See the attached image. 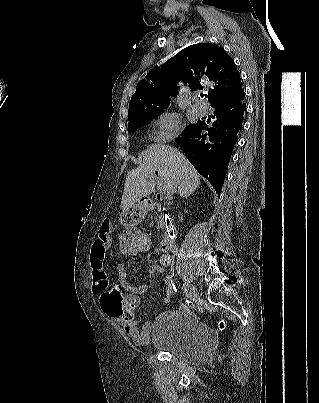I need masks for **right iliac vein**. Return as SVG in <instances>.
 I'll return each mask as SVG.
<instances>
[{"mask_svg": "<svg viewBox=\"0 0 319 403\" xmlns=\"http://www.w3.org/2000/svg\"><path fill=\"white\" fill-rule=\"evenodd\" d=\"M183 289L191 301H196L198 299V292L192 284L184 282Z\"/></svg>", "mask_w": 319, "mask_h": 403, "instance_id": "63e3f726", "label": "right iliac vein"}]
</instances>
